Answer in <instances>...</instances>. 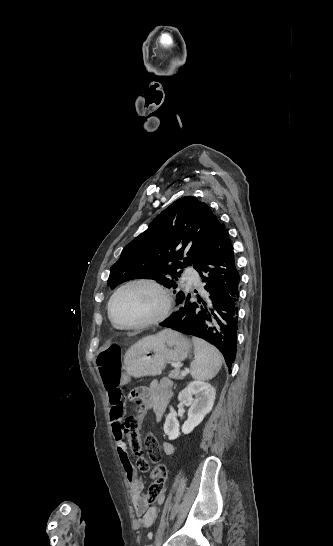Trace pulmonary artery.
Listing matches in <instances>:
<instances>
[{
	"instance_id": "pulmonary-artery-1",
	"label": "pulmonary artery",
	"mask_w": 333,
	"mask_h": 546,
	"mask_svg": "<svg viewBox=\"0 0 333 546\" xmlns=\"http://www.w3.org/2000/svg\"><path fill=\"white\" fill-rule=\"evenodd\" d=\"M184 278L188 279L196 285H200V278L198 274L193 270H187L184 274Z\"/></svg>"
}]
</instances>
